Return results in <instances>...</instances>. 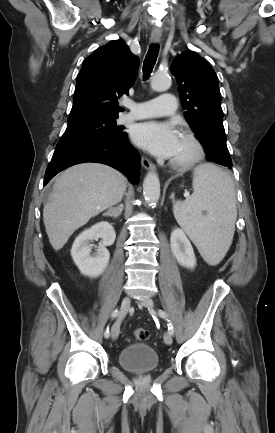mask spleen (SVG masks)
<instances>
[{"instance_id":"spleen-1","label":"spleen","mask_w":275,"mask_h":433,"mask_svg":"<svg viewBox=\"0 0 275 433\" xmlns=\"http://www.w3.org/2000/svg\"><path fill=\"white\" fill-rule=\"evenodd\" d=\"M194 193L176 202L173 213L178 224L210 265L218 264L233 240L237 218L233 181L213 164L195 168Z\"/></svg>"}]
</instances>
